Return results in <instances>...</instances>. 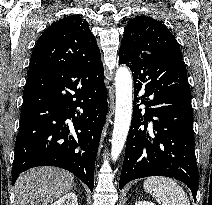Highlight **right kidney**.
<instances>
[{"label":"right kidney","mask_w":212,"mask_h":205,"mask_svg":"<svg viewBox=\"0 0 212 205\" xmlns=\"http://www.w3.org/2000/svg\"><path fill=\"white\" fill-rule=\"evenodd\" d=\"M51 205H78L77 196L75 193H67Z\"/></svg>","instance_id":"obj_1"}]
</instances>
